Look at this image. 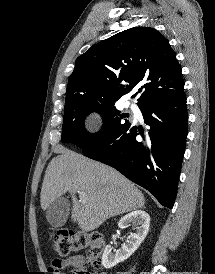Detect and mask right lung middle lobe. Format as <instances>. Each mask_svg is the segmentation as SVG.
I'll return each mask as SVG.
<instances>
[{
  "label": "right lung middle lobe",
  "instance_id": "dd1d6c3e",
  "mask_svg": "<svg viewBox=\"0 0 215 274\" xmlns=\"http://www.w3.org/2000/svg\"><path fill=\"white\" fill-rule=\"evenodd\" d=\"M115 102H77L65 104L61 141L73 143L83 151L107 141L131 124L124 119L115 107ZM91 112H98L103 117V126L95 134H90L84 127V118Z\"/></svg>",
  "mask_w": 215,
  "mask_h": 274
}]
</instances>
